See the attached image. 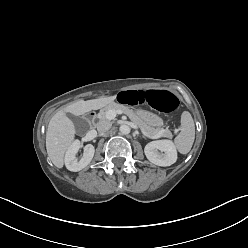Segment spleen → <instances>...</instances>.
<instances>
[{
	"instance_id": "3e777b00",
	"label": "spleen",
	"mask_w": 248,
	"mask_h": 248,
	"mask_svg": "<svg viewBox=\"0 0 248 248\" xmlns=\"http://www.w3.org/2000/svg\"><path fill=\"white\" fill-rule=\"evenodd\" d=\"M180 130V133L174 139V143L181 154H187L191 150L195 139V124L188 111H184L181 115Z\"/></svg>"
}]
</instances>
